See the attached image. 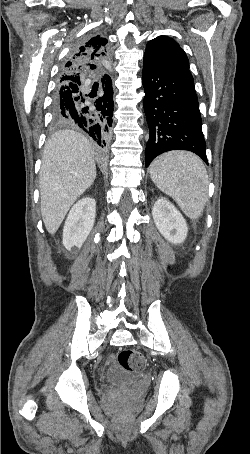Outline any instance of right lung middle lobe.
I'll list each match as a JSON object with an SVG mask.
<instances>
[{
  "label": "right lung middle lobe",
  "mask_w": 250,
  "mask_h": 454,
  "mask_svg": "<svg viewBox=\"0 0 250 454\" xmlns=\"http://www.w3.org/2000/svg\"><path fill=\"white\" fill-rule=\"evenodd\" d=\"M53 118H54V117H53ZM54 122H55L56 124H60V122H59L57 119H55V118H54Z\"/></svg>",
  "instance_id": "obj_1"
}]
</instances>
